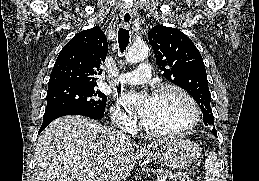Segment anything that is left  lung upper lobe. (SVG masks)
<instances>
[{
    "label": "left lung upper lobe",
    "instance_id": "5c2ea615",
    "mask_svg": "<svg viewBox=\"0 0 259 181\" xmlns=\"http://www.w3.org/2000/svg\"><path fill=\"white\" fill-rule=\"evenodd\" d=\"M148 39L163 76L190 93L203 113L204 124L214 125L205 65L191 39L181 31L163 25L154 26ZM212 133H217L215 128Z\"/></svg>",
    "mask_w": 259,
    "mask_h": 181
}]
</instances>
